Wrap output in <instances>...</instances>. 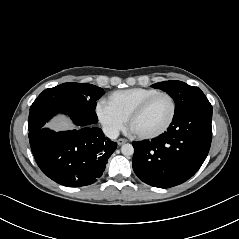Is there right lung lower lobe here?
<instances>
[{
  "mask_svg": "<svg viewBox=\"0 0 239 239\" xmlns=\"http://www.w3.org/2000/svg\"><path fill=\"white\" fill-rule=\"evenodd\" d=\"M72 119L79 130L54 132L43 128L46 120L28 136L35 160L46 176L67 187H81L102 176L117 145L93 127L98 118L95 123Z\"/></svg>",
  "mask_w": 239,
  "mask_h": 239,
  "instance_id": "98d812e1",
  "label": "right lung lower lobe"
}]
</instances>
